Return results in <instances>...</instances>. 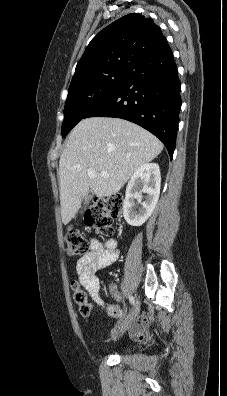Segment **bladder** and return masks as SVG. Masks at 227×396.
<instances>
[{"label": "bladder", "instance_id": "31cf9c89", "mask_svg": "<svg viewBox=\"0 0 227 396\" xmlns=\"http://www.w3.org/2000/svg\"><path fill=\"white\" fill-rule=\"evenodd\" d=\"M130 352H131V350L128 348L122 350L123 354H129Z\"/></svg>", "mask_w": 227, "mask_h": 396}]
</instances>
